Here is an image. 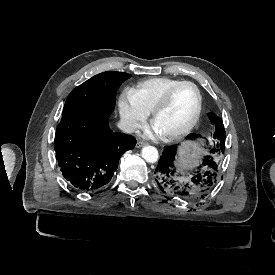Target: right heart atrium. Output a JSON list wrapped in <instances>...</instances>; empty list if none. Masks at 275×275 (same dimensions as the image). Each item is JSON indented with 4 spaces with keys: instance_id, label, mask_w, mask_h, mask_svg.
I'll list each match as a JSON object with an SVG mask.
<instances>
[{
    "instance_id": "d8ad5b80",
    "label": "right heart atrium",
    "mask_w": 275,
    "mask_h": 275,
    "mask_svg": "<svg viewBox=\"0 0 275 275\" xmlns=\"http://www.w3.org/2000/svg\"><path fill=\"white\" fill-rule=\"evenodd\" d=\"M119 111L125 127L129 131L140 128L150 112L139 102L134 91L126 90L119 99Z\"/></svg>"
}]
</instances>
